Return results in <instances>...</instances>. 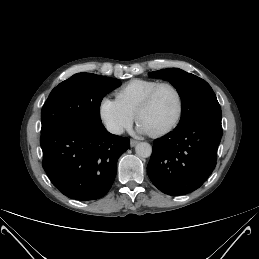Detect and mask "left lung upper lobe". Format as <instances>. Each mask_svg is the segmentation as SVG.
<instances>
[{
	"label": "left lung upper lobe",
	"instance_id": "5c2ea615",
	"mask_svg": "<svg viewBox=\"0 0 259 259\" xmlns=\"http://www.w3.org/2000/svg\"><path fill=\"white\" fill-rule=\"evenodd\" d=\"M149 76L168 80L177 89L182 101L178 127L203 119L221 122L216 95L203 79L177 68L150 72Z\"/></svg>",
	"mask_w": 259,
	"mask_h": 259
}]
</instances>
